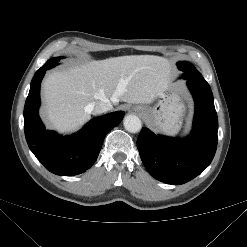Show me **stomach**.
Instances as JSON below:
<instances>
[{
  "label": "stomach",
  "instance_id": "obj_1",
  "mask_svg": "<svg viewBox=\"0 0 247 247\" xmlns=\"http://www.w3.org/2000/svg\"><path fill=\"white\" fill-rule=\"evenodd\" d=\"M137 108H142L145 118L166 134H176L181 128L183 104L174 92H164L153 108Z\"/></svg>",
  "mask_w": 247,
  "mask_h": 247
}]
</instances>
